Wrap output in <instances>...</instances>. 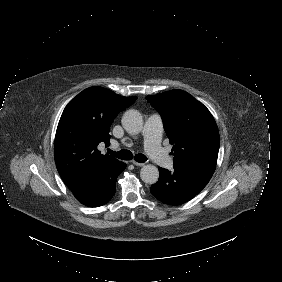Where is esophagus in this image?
<instances>
[{
    "label": "esophagus",
    "mask_w": 282,
    "mask_h": 282,
    "mask_svg": "<svg viewBox=\"0 0 282 282\" xmlns=\"http://www.w3.org/2000/svg\"><path fill=\"white\" fill-rule=\"evenodd\" d=\"M132 163L135 165V166H143L144 164L143 163H139V162H137V161H135V160H132Z\"/></svg>",
    "instance_id": "1"
}]
</instances>
